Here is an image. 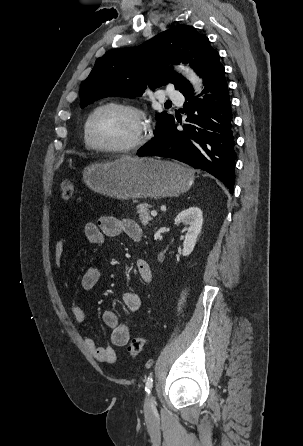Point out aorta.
Here are the masks:
<instances>
[{"mask_svg":"<svg viewBox=\"0 0 303 446\" xmlns=\"http://www.w3.org/2000/svg\"><path fill=\"white\" fill-rule=\"evenodd\" d=\"M178 71L182 72L183 75L190 81L195 92H199L202 87V80L197 76V74L191 68H177Z\"/></svg>","mask_w":303,"mask_h":446,"instance_id":"1","label":"aorta"}]
</instances>
